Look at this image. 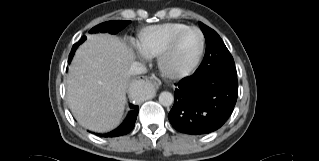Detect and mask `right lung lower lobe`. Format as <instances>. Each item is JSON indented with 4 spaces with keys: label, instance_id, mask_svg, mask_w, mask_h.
<instances>
[{
    "label": "right lung lower lobe",
    "instance_id": "right-lung-lower-lobe-1",
    "mask_svg": "<svg viewBox=\"0 0 319 161\" xmlns=\"http://www.w3.org/2000/svg\"><path fill=\"white\" fill-rule=\"evenodd\" d=\"M130 108H131V111L129 112L127 118L117 129L107 134H97V135L105 136V137H108V136L116 137V136H122L129 133L133 129L135 125V121L137 119V115H138V106L130 105Z\"/></svg>",
    "mask_w": 319,
    "mask_h": 161
}]
</instances>
